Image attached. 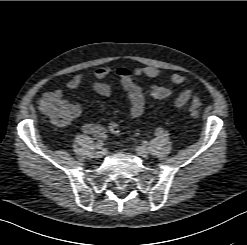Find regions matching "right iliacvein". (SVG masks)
<instances>
[{
	"label": "right iliac vein",
	"mask_w": 247,
	"mask_h": 245,
	"mask_svg": "<svg viewBox=\"0 0 247 245\" xmlns=\"http://www.w3.org/2000/svg\"><path fill=\"white\" fill-rule=\"evenodd\" d=\"M103 155H104L103 150H97V151L95 152V157H96L97 159L102 158Z\"/></svg>",
	"instance_id": "1"
}]
</instances>
